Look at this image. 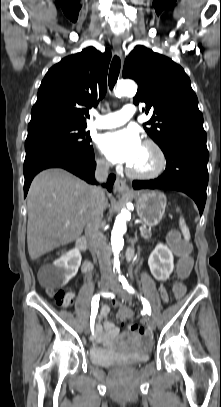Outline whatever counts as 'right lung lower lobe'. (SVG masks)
Returning a JSON list of instances; mask_svg holds the SVG:
<instances>
[{
    "instance_id": "obj_1",
    "label": "right lung lower lobe",
    "mask_w": 221,
    "mask_h": 407,
    "mask_svg": "<svg viewBox=\"0 0 221 407\" xmlns=\"http://www.w3.org/2000/svg\"><path fill=\"white\" fill-rule=\"evenodd\" d=\"M95 166L94 153L90 156H82L70 148L55 143L32 145L26 150L24 161V197L34 176L44 169L64 168L89 183L97 184L94 178ZM115 178L116 176L111 174L103 186L111 191Z\"/></svg>"
}]
</instances>
